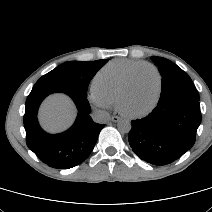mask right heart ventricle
Wrapping results in <instances>:
<instances>
[{
  "instance_id": "obj_1",
  "label": "right heart ventricle",
  "mask_w": 212,
  "mask_h": 212,
  "mask_svg": "<svg viewBox=\"0 0 212 212\" xmlns=\"http://www.w3.org/2000/svg\"><path fill=\"white\" fill-rule=\"evenodd\" d=\"M144 62L117 59L105 65L95 76L94 85L115 102L119 90L129 72Z\"/></svg>"
}]
</instances>
